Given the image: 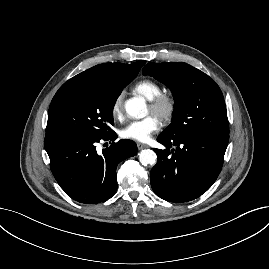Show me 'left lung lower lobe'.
I'll list each match as a JSON object with an SVG mask.
<instances>
[{
	"label": "left lung lower lobe",
	"mask_w": 269,
	"mask_h": 269,
	"mask_svg": "<svg viewBox=\"0 0 269 269\" xmlns=\"http://www.w3.org/2000/svg\"><path fill=\"white\" fill-rule=\"evenodd\" d=\"M157 141L166 149H154L158 161L150 173L152 189L166 201L181 203L198 198L215 182L229 134L196 131L173 139L159 136Z\"/></svg>",
	"instance_id": "1"
}]
</instances>
